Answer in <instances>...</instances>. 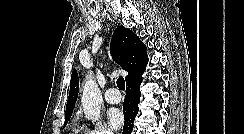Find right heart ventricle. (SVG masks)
Wrapping results in <instances>:
<instances>
[{"instance_id":"right-heart-ventricle-1","label":"right heart ventricle","mask_w":244,"mask_h":134,"mask_svg":"<svg viewBox=\"0 0 244 134\" xmlns=\"http://www.w3.org/2000/svg\"><path fill=\"white\" fill-rule=\"evenodd\" d=\"M70 134H87L86 131H83L80 127L74 126Z\"/></svg>"}]
</instances>
